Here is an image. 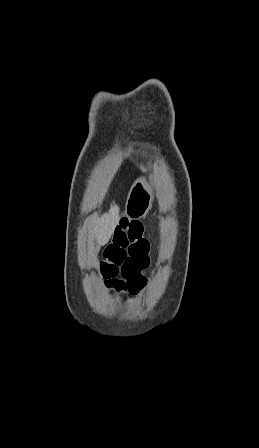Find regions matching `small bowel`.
Masks as SVG:
<instances>
[{"label": "small bowel", "instance_id": "1", "mask_svg": "<svg viewBox=\"0 0 259 448\" xmlns=\"http://www.w3.org/2000/svg\"><path fill=\"white\" fill-rule=\"evenodd\" d=\"M149 241L137 220L122 219L112 230L110 243L99 264L105 285L119 293L137 294L146 285Z\"/></svg>", "mask_w": 259, "mask_h": 448}]
</instances>
